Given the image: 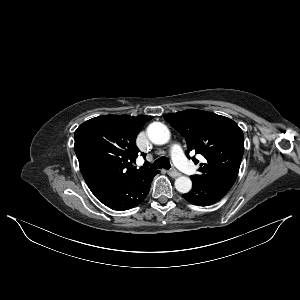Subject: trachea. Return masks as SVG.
Wrapping results in <instances>:
<instances>
[{
  "label": "trachea",
  "mask_w": 300,
  "mask_h": 300,
  "mask_svg": "<svg viewBox=\"0 0 300 300\" xmlns=\"http://www.w3.org/2000/svg\"><path fill=\"white\" fill-rule=\"evenodd\" d=\"M151 169H166V170H169L171 168V165H170V162H169V159L167 157H160L158 158L151 166H150Z\"/></svg>",
  "instance_id": "trachea-1"
}]
</instances>
